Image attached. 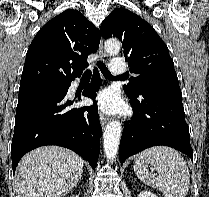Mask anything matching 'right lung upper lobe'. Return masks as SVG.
I'll use <instances>...</instances> for the list:
<instances>
[{
    "instance_id": "obj_1",
    "label": "right lung upper lobe",
    "mask_w": 209,
    "mask_h": 197,
    "mask_svg": "<svg viewBox=\"0 0 209 197\" xmlns=\"http://www.w3.org/2000/svg\"><path fill=\"white\" fill-rule=\"evenodd\" d=\"M100 38V31L77 10L54 17L28 48L20 89L70 84L88 66L86 59L96 52Z\"/></svg>"
}]
</instances>
